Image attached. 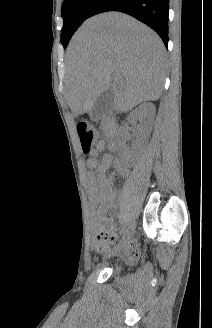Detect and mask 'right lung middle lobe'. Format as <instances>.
<instances>
[{
  "label": "right lung middle lobe",
  "mask_w": 212,
  "mask_h": 328,
  "mask_svg": "<svg viewBox=\"0 0 212 328\" xmlns=\"http://www.w3.org/2000/svg\"><path fill=\"white\" fill-rule=\"evenodd\" d=\"M98 0H64L61 8L63 28L61 42L66 48L79 26L89 18V13Z\"/></svg>",
  "instance_id": "1"
}]
</instances>
